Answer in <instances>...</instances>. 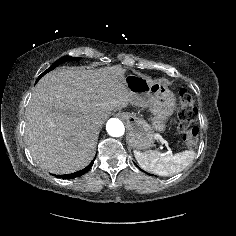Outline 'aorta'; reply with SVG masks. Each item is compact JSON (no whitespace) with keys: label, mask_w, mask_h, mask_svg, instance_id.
Here are the masks:
<instances>
[{"label":"aorta","mask_w":236,"mask_h":236,"mask_svg":"<svg viewBox=\"0 0 236 236\" xmlns=\"http://www.w3.org/2000/svg\"><path fill=\"white\" fill-rule=\"evenodd\" d=\"M107 133L112 137H120L125 132L124 124L117 118H111L106 124Z\"/></svg>","instance_id":"762f6f07"}]
</instances>
